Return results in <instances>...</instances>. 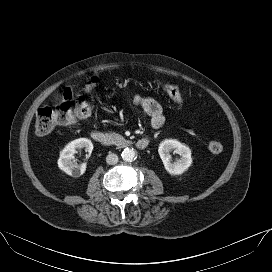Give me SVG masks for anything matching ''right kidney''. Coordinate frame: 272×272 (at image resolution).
<instances>
[{
  "label": "right kidney",
  "instance_id": "right-kidney-1",
  "mask_svg": "<svg viewBox=\"0 0 272 272\" xmlns=\"http://www.w3.org/2000/svg\"><path fill=\"white\" fill-rule=\"evenodd\" d=\"M91 154L93 150V144L91 140L87 138H79L68 143L64 149L60 152V157L58 159V167L64 171L66 174L72 177H80L86 171V163L78 165L73 161L74 153L76 149H82Z\"/></svg>",
  "mask_w": 272,
  "mask_h": 272
}]
</instances>
